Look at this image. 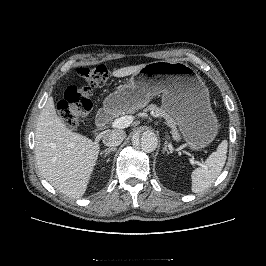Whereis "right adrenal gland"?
Masks as SVG:
<instances>
[{
  "mask_svg": "<svg viewBox=\"0 0 266 266\" xmlns=\"http://www.w3.org/2000/svg\"><path fill=\"white\" fill-rule=\"evenodd\" d=\"M111 151H116V148H115V147L107 148V149H105L104 151H102V152L100 153V155L104 154V157H106Z\"/></svg>",
  "mask_w": 266,
  "mask_h": 266,
  "instance_id": "obj_1",
  "label": "right adrenal gland"
}]
</instances>
